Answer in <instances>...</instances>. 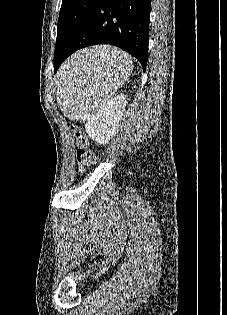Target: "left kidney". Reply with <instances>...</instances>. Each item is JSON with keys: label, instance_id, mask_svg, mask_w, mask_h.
Wrapping results in <instances>:
<instances>
[{"label": "left kidney", "instance_id": "obj_1", "mask_svg": "<svg viewBox=\"0 0 227 315\" xmlns=\"http://www.w3.org/2000/svg\"><path fill=\"white\" fill-rule=\"evenodd\" d=\"M126 107L123 94L104 103L85 125L88 135L99 144H106L114 135Z\"/></svg>", "mask_w": 227, "mask_h": 315}]
</instances>
